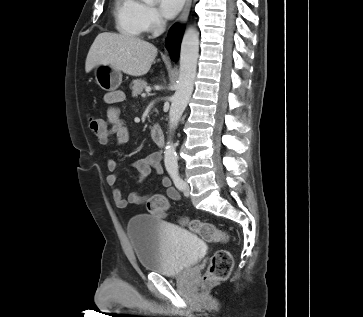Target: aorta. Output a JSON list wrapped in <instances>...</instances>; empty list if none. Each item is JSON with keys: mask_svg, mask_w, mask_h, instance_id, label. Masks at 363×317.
Here are the masks:
<instances>
[{"mask_svg": "<svg viewBox=\"0 0 363 317\" xmlns=\"http://www.w3.org/2000/svg\"><path fill=\"white\" fill-rule=\"evenodd\" d=\"M154 1L155 0H143V2L147 4H152ZM198 57L199 33L194 27H189L185 31L181 43L179 77L169 111L170 135L177 127L191 98L194 89ZM164 163L168 171L177 170V154L171 136L170 140L166 143L164 150Z\"/></svg>", "mask_w": 363, "mask_h": 317, "instance_id": "aorta-1", "label": "aorta"}]
</instances>
